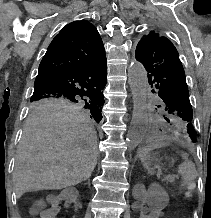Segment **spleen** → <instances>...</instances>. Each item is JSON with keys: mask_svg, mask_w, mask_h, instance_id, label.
<instances>
[{"mask_svg": "<svg viewBox=\"0 0 211 218\" xmlns=\"http://www.w3.org/2000/svg\"><path fill=\"white\" fill-rule=\"evenodd\" d=\"M147 154L148 152H141L140 160L141 162H143V166L144 168H146V170H148L149 174H153L152 168H148V164H146ZM183 158H184L183 164H180V166H178V174L182 176L183 182L181 186H186V184H189V182H192V180H195L196 170H195V166L193 162H190V160H188L186 154H183Z\"/></svg>", "mask_w": 211, "mask_h": 218, "instance_id": "spleen-1", "label": "spleen"}]
</instances>
